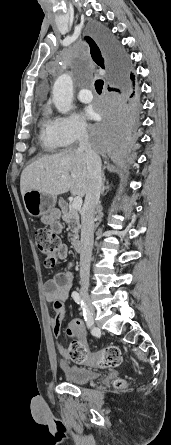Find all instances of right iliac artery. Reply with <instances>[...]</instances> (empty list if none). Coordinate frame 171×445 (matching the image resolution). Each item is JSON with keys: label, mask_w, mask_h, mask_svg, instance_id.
<instances>
[{"label": "right iliac artery", "mask_w": 171, "mask_h": 445, "mask_svg": "<svg viewBox=\"0 0 171 445\" xmlns=\"http://www.w3.org/2000/svg\"><path fill=\"white\" fill-rule=\"evenodd\" d=\"M72 298L74 299V301L77 304H79L81 306L82 311H83V316H84V319L86 321L87 327L91 328V326L93 324V319L91 318V316L89 314L88 308H87L86 304L84 303L83 298L76 291L72 292Z\"/></svg>", "instance_id": "1"}]
</instances>
